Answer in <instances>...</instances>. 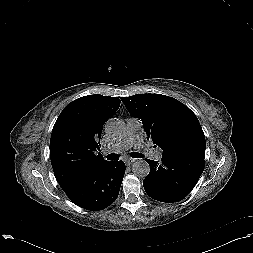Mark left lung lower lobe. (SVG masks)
Returning a JSON list of instances; mask_svg holds the SVG:
<instances>
[{
    "mask_svg": "<svg viewBox=\"0 0 253 253\" xmlns=\"http://www.w3.org/2000/svg\"><path fill=\"white\" fill-rule=\"evenodd\" d=\"M150 172L143 180L146 193L161 202L184 199L197 184L205 167L202 157L190 154L162 156L161 162L146 159Z\"/></svg>",
    "mask_w": 253,
    "mask_h": 253,
    "instance_id": "1",
    "label": "left lung lower lobe"
}]
</instances>
